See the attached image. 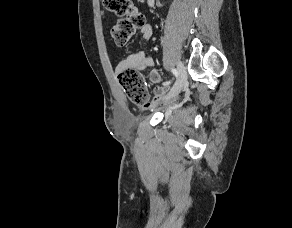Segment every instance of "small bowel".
<instances>
[{"mask_svg": "<svg viewBox=\"0 0 292 228\" xmlns=\"http://www.w3.org/2000/svg\"><path fill=\"white\" fill-rule=\"evenodd\" d=\"M140 32L144 40H150L152 38L153 30L150 24H144L140 28ZM153 66V58L147 55L144 51H138L120 61L115 68L117 74L126 69L143 71L147 68H152L149 73V79L158 86L154 90L155 96L153 100L150 102L146 101L141 105L143 109H155L159 105H162L170 86L169 82L163 80L159 72L153 68Z\"/></svg>", "mask_w": 292, "mask_h": 228, "instance_id": "obj_1", "label": "small bowel"}]
</instances>
